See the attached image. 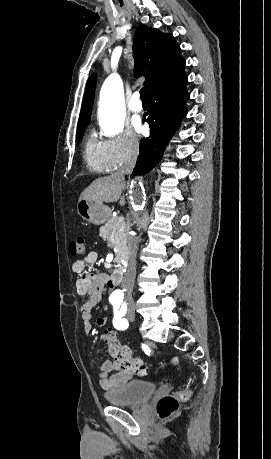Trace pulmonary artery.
<instances>
[{"label":"pulmonary artery","instance_id":"pulmonary-artery-1","mask_svg":"<svg viewBox=\"0 0 271 459\" xmlns=\"http://www.w3.org/2000/svg\"><path fill=\"white\" fill-rule=\"evenodd\" d=\"M128 108L132 113H135V114H138V113L142 112L143 105H142V101L140 99L139 92H136L133 95L132 99L128 103Z\"/></svg>","mask_w":271,"mask_h":459}]
</instances>
